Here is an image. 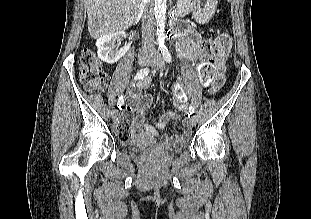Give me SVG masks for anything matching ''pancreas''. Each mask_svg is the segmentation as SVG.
<instances>
[{"label":"pancreas","instance_id":"pancreas-1","mask_svg":"<svg viewBox=\"0 0 311 219\" xmlns=\"http://www.w3.org/2000/svg\"><path fill=\"white\" fill-rule=\"evenodd\" d=\"M193 0H179L178 2V9H183L186 11L192 10L193 4H192Z\"/></svg>","mask_w":311,"mask_h":219}]
</instances>
